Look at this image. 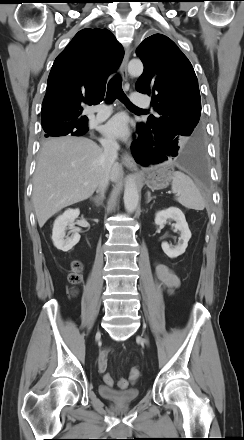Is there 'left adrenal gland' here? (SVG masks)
<instances>
[{
    "label": "left adrenal gland",
    "instance_id": "left-adrenal-gland-1",
    "mask_svg": "<svg viewBox=\"0 0 244 440\" xmlns=\"http://www.w3.org/2000/svg\"><path fill=\"white\" fill-rule=\"evenodd\" d=\"M155 198H156V196L151 197V193L147 192V202L146 203H149L152 199H155Z\"/></svg>",
    "mask_w": 244,
    "mask_h": 440
}]
</instances>
